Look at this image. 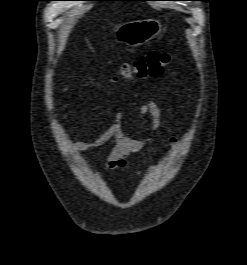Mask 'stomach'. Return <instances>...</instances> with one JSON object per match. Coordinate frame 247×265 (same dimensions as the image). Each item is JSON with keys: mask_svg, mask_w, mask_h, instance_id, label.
<instances>
[{"mask_svg": "<svg viewBox=\"0 0 247 265\" xmlns=\"http://www.w3.org/2000/svg\"><path fill=\"white\" fill-rule=\"evenodd\" d=\"M161 31L162 24L157 19L131 21L117 30L115 40L130 47H137L147 43Z\"/></svg>", "mask_w": 247, "mask_h": 265, "instance_id": "1", "label": "stomach"}]
</instances>
